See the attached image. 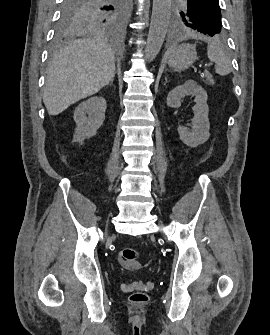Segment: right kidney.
<instances>
[{
    "mask_svg": "<svg viewBox=\"0 0 270 335\" xmlns=\"http://www.w3.org/2000/svg\"><path fill=\"white\" fill-rule=\"evenodd\" d=\"M105 110L106 100L101 98V96H94V98H89L86 102H81L74 112L77 128H75L73 142L83 144L85 138H92L97 130L103 126Z\"/></svg>",
    "mask_w": 270,
    "mask_h": 335,
    "instance_id": "ca27d5eb",
    "label": "right kidney"
}]
</instances>
